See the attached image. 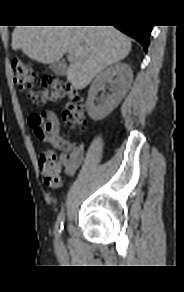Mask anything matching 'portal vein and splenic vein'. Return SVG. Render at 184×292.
I'll use <instances>...</instances> for the list:
<instances>
[{
  "instance_id": "obj_1",
  "label": "portal vein and splenic vein",
  "mask_w": 184,
  "mask_h": 292,
  "mask_svg": "<svg viewBox=\"0 0 184 292\" xmlns=\"http://www.w3.org/2000/svg\"><path fill=\"white\" fill-rule=\"evenodd\" d=\"M67 57H68V59H69V60H72V59H73V55H72V54H70V53L68 54V56H67Z\"/></svg>"
}]
</instances>
